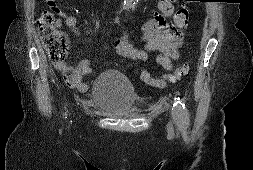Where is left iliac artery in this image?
<instances>
[{
    "mask_svg": "<svg viewBox=\"0 0 253 170\" xmlns=\"http://www.w3.org/2000/svg\"><path fill=\"white\" fill-rule=\"evenodd\" d=\"M175 100L176 101L173 105V112L178 114L180 118L185 119V117L187 116V112L184 110L185 109L184 101H182L180 97H176Z\"/></svg>",
    "mask_w": 253,
    "mask_h": 170,
    "instance_id": "1",
    "label": "left iliac artery"
}]
</instances>
